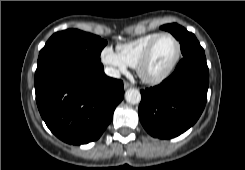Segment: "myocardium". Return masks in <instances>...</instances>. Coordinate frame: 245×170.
<instances>
[{
	"label": "myocardium",
	"instance_id": "1",
	"mask_svg": "<svg viewBox=\"0 0 245 170\" xmlns=\"http://www.w3.org/2000/svg\"><path fill=\"white\" fill-rule=\"evenodd\" d=\"M162 37H170L173 39L176 45L175 56L172 62L163 72H161L158 75H149L145 72V65L148 62L155 45ZM180 57H181V46H180L179 40L175 37V35L168 33V32H163V33L158 34L147 45V47L145 48V50L143 51V53L141 54V56L139 57L137 61L136 71L143 81L150 83V84H159L171 76V74L174 72L175 68L177 67L179 63Z\"/></svg>",
	"mask_w": 245,
	"mask_h": 170
}]
</instances>
